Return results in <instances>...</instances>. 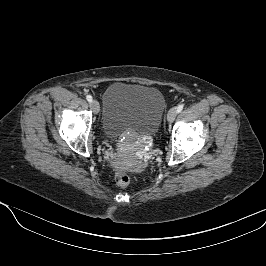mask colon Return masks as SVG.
Instances as JSON below:
<instances>
[{
    "label": "colon",
    "mask_w": 266,
    "mask_h": 266,
    "mask_svg": "<svg viewBox=\"0 0 266 266\" xmlns=\"http://www.w3.org/2000/svg\"><path fill=\"white\" fill-rule=\"evenodd\" d=\"M115 182L121 187H126L130 184V177L124 171H117L114 175Z\"/></svg>",
    "instance_id": "obj_1"
}]
</instances>
